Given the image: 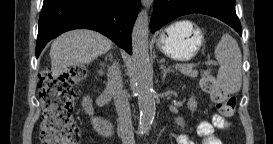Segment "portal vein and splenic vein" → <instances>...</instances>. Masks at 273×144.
Instances as JSON below:
<instances>
[{
	"label": "portal vein and splenic vein",
	"instance_id": "18ae733b",
	"mask_svg": "<svg viewBox=\"0 0 273 144\" xmlns=\"http://www.w3.org/2000/svg\"><path fill=\"white\" fill-rule=\"evenodd\" d=\"M175 66V68H179V69H182V68H185V67H187V68H193V65H190V64H176V65H174Z\"/></svg>",
	"mask_w": 273,
	"mask_h": 144
}]
</instances>
